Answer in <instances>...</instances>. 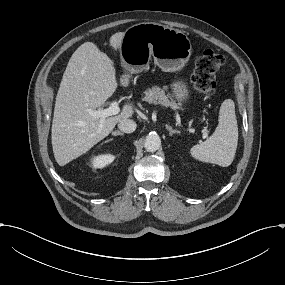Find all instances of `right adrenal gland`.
<instances>
[{
    "label": "right adrenal gland",
    "instance_id": "obj_1",
    "mask_svg": "<svg viewBox=\"0 0 285 285\" xmlns=\"http://www.w3.org/2000/svg\"><path fill=\"white\" fill-rule=\"evenodd\" d=\"M112 136L116 137V136H124V133H121L119 131H113L112 132Z\"/></svg>",
    "mask_w": 285,
    "mask_h": 285
}]
</instances>
